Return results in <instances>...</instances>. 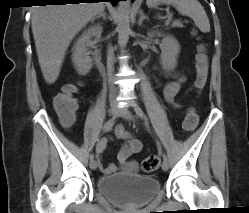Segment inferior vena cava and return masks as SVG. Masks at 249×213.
<instances>
[{
	"label": "inferior vena cava",
	"mask_w": 249,
	"mask_h": 213,
	"mask_svg": "<svg viewBox=\"0 0 249 213\" xmlns=\"http://www.w3.org/2000/svg\"><path fill=\"white\" fill-rule=\"evenodd\" d=\"M114 61H113V50L111 47L108 48L107 52V72L108 76L111 82V90H114L113 84H112V77H113V71H114Z\"/></svg>",
	"instance_id": "obj_1"
}]
</instances>
